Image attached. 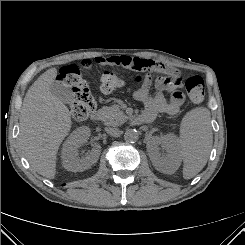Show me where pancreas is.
Here are the masks:
<instances>
[{
    "mask_svg": "<svg viewBox=\"0 0 245 245\" xmlns=\"http://www.w3.org/2000/svg\"><path fill=\"white\" fill-rule=\"evenodd\" d=\"M101 120L107 126H117L125 122L126 116L120 110L118 105L103 107L99 110Z\"/></svg>",
    "mask_w": 245,
    "mask_h": 245,
    "instance_id": "cf45deb5",
    "label": "pancreas"
}]
</instances>
